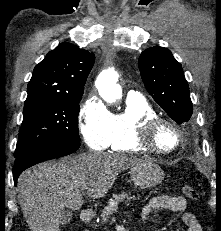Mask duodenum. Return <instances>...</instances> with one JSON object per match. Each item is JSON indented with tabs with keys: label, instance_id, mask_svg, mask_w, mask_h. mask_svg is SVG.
Returning a JSON list of instances; mask_svg holds the SVG:
<instances>
[{
	"label": "duodenum",
	"instance_id": "duodenum-1",
	"mask_svg": "<svg viewBox=\"0 0 221 231\" xmlns=\"http://www.w3.org/2000/svg\"><path fill=\"white\" fill-rule=\"evenodd\" d=\"M80 219L84 223H88L93 219L92 211L89 209H83L80 215Z\"/></svg>",
	"mask_w": 221,
	"mask_h": 231
}]
</instances>
